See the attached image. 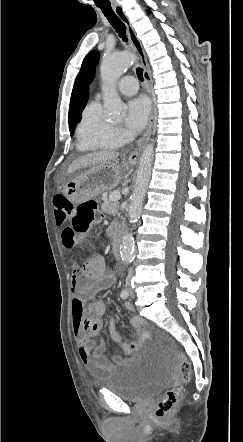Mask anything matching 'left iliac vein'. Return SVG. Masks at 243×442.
I'll return each mask as SVG.
<instances>
[{"instance_id":"obj_1","label":"left iliac vein","mask_w":243,"mask_h":442,"mask_svg":"<svg viewBox=\"0 0 243 442\" xmlns=\"http://www.w3.org/2000/svg\"><path fill=\"white\" fill-rule=\"evenodd\" d=\"M129 294L131 298H134L135 294L132 288L129 289Z\"/></svg>"}]
</instances>
